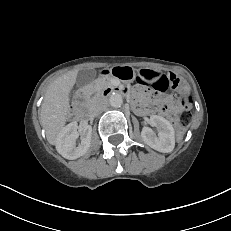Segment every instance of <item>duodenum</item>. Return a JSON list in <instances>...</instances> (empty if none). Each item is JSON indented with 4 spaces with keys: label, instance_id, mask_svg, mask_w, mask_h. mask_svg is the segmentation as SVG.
<instances>
[{
    "label": "duodenum",
    "instance_id": "410a0bca",
    "mask_svg": "<svg viewBox=\"0 0 231 231\" xmlns=\"http://www.w3.org/2000/svg\"><path fill=\"white\" fill-rule=\"evenodd\" d=\"M111 92L110 88H105L103 95L106 96ZM89 96L87 91H82L78 96L77 103L79 104L82 100H86ZM73 115L75 118L84 121L87 118V114L83 113L78 107L73 110Z\"/></svg>",
    "mask_w": 231,
    "mask_h": 231
}]
</instances>
